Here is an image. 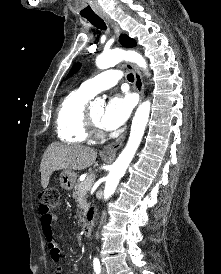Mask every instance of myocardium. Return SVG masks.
I'll use <instances>...</instances> for the list:
<instances>
[{"instance_id": "obj_1", "label": "myocardium", "mask_w": 221, "mask_h": 274, "mask_svg": "<svg viewBox=\"0 0 221 274\" xmlns=\"http://www.w3.org/2000/svg\"><path fill=\"white\" fill-rule=\"evenodd\" d=\"M86 121L90 135H94L96 137L104 136V132L102 131L100 124L94 120L89 110L86 112Z\"/></svg>"}]
</instances>
